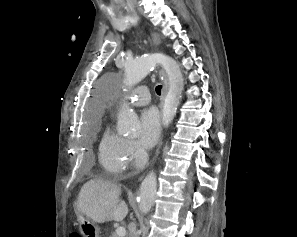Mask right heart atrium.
Segmentation results:
<instances>
[{"label":"right heart atrium","instance_id":"obj_1","mask_svg":"<svg viewBox=\"0 0 297 237\" xmlns=\"http://www.w3.org/2000/svg\"><path fill=\"white\" fill-rule=\"evenodd\" d=\"M127 152H128V163L133 166H137L142 156V150L140 149V147L135 142L128 141Z\"/></svg>","mask_w":297,"mask_h":237}]
</instances>
